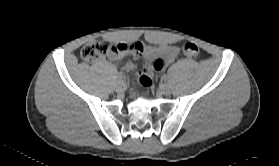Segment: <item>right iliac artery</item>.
I'll use <instances>...</instances> for the list:
<instances>
[{
    "label": "right iliac artery",
    "mask_w": 279,
    "mask_h": 166,
    "mask_svg": "<svg viewBox=\"0 0 279 166\" xmlns=\"http://www.w3.org/2000/svg\"><path fill=\"white\" fill-rule=\"evenodd\" d=\"M124 78H125L124 73H123V72H119V73H118V79H119V80H123Z\"/></svg>",
    "instance_id": "obj_1"
}]
</instances>
